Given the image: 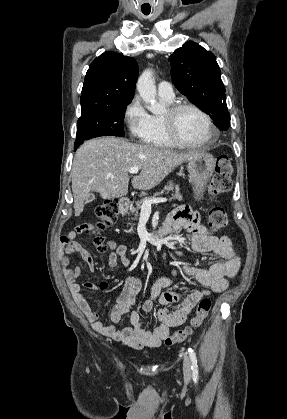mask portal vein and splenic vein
<instances>
[{
    "label": "portal vein and splenic vein",
    "instance_id": "portal-vein-and-splenic-vein-1",
    "mask_svg": "<svg viewBox=\"0 0 287 419\" xmlns=\"http://www.w3.org/2000/svg\"><path fill=\"white\" fill-rule=\"evenodd\" d=\"M139 171L138 167H131L129 169V173L130 174H137ZM167 199L163 198V197H159V198H154V199H146L143 201L141 209L144 211H151V205L152 204H156V203H163L166 202Z\"/></svg>",
    "mask_w": 287,
    "mask_h": 419
}]
</instances>
